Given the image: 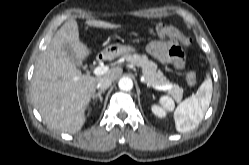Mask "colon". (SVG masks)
Segmentation results:
<instances>
[{"mask_svg":"<svg viewBox=\"0 0 249 165\" xmlns=\"http://www.w3.org/2000/svg\"><path fill=\"white\" fill-rule=\"evenodd\" d=\"M150 34L159 37H170L172 39L178 40L184 46H190L191 40L186 37L181 30L173 25L158 24L154 28L150 29ZM186 81L189 86H194L197 83V76L194 71H189L186 74Z\"/></svg>","mask_w":249,"mask_h":165,"instance_id":"colon-1","label":"colon"}]
</instances>
